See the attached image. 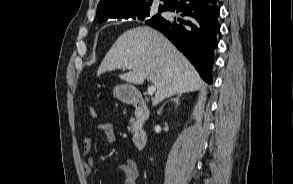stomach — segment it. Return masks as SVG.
Returning a JSON list of instances; mask_svg holds the SVG:
<instances>
[{
	"instance_id": "obj_1",
	"label": "stomach",
	"mask_w": 293,
	"mask_h": 184,
	"mask_svg": "<svg viewBox=\"0 0 293 184\" xmlns=\"http://www.w3.org/2000/svg\"><path fill=\"white\" fill-rule=\"evenodd\" d=\"M113 94L124 103H132L139 96V91L132 85H118L114 88Z\"/></svg>"
}]
</instances>
